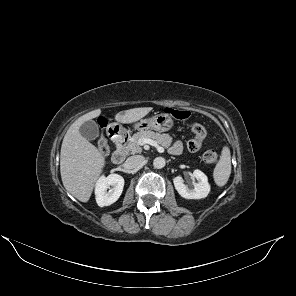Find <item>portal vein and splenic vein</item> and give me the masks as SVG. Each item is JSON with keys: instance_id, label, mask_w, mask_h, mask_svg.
<instances>
[{"instance_id": "obj_1", "label": "portal vein and splenic vein", "mask_w": 296, "mask_h": 296, "mask_svg": "<svg viewBox=\"0 0 296 296\" xmlns=\"http://www.w3.org/2000/svg\"><path fill=\"white\" fill-rule=\"evenodd\" d=\"M140 142L142 144H149V145L156 146L157 147V150L160 153L164 152V149L161 146H158L157 143L154 140H152V139L144 138V139H141Z\"/></svg>"}]
</instances>
